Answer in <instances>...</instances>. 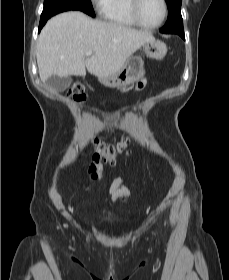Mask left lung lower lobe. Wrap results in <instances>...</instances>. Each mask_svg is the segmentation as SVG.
I'll return each instance as SVG.
<instances>
[{"instance_id":"left-lung-lower-lobe-1","label":"left lung lower lobe","mask_w":229,"mask_h":280,"mask_svg":"<svg viewBox=\"0 0 229 280\" xmlns=\"http://www.w3.org/2000/svg\"><path fill=\"white\" fill-rule=\"evenodd\" d=\"M176 34H178L179 36H181V37L185 40L184 31L178 32V33H176Z\"/></svg>"}]
</instances>
